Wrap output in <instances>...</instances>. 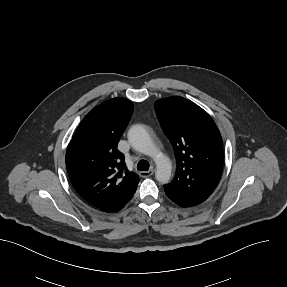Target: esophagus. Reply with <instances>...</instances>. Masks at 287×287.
Wrapping results in <instances>:
<instances>
[{
    "label": "esophagus",
    "instance_id": "esophagus-1",
    "mask_svg": "<svg viewBox=\"0 0 287 287\" xmlns=\"http://www.w3.org/2000/svg\"><path fill=\"white\" fill-rule=\"evenodd\" d=\"M153 173H154V170L150 169L149 171H140L139 175L143 178H146V177L153 175Z\"/></svg>",
    "mask_w": 287,
    "mask_h": 287
}]
</instances>
